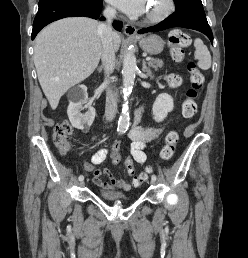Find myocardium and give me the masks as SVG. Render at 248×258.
Masks as SVG:
<instances>
[{"label": "myocardium", "mask_w": 248, "mask_h": 258, "mask_svg": "<svg viewBox=\"0 0 248 258\" xmlns=\"http://www.w3.org/2000/svg\"><path fill=\"white\" fill-rule=\"evenodd\" d=\"M175 10V0H165L163 8L153 14L145 17V20L150 23H158L168 18Z\"/></svg>", "instance_id": "obj_1"}]
</instances>
